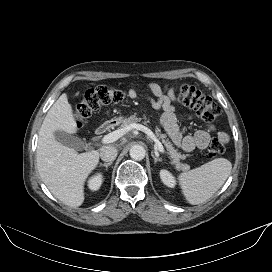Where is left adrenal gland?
<instances>
[{
	"mask_svg": "<svg viewBox=\"0 0 272 272\" xmlns=\"http://www.w3.org/2000/svg\"><path fill=\"white\" fill-rule=\"evenodd\" d=\"M151 155H152V157H153V159H154L155 164H156L157 162H162V159H161L158 155H154L153 152L151 153Z\"/></svg>",
	"mask_w": 272,
	"mask_h": 272,
	"instance_id": "1",
	"label": "left adrenal gland"
}]
</instances>
